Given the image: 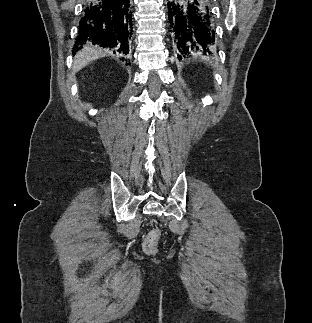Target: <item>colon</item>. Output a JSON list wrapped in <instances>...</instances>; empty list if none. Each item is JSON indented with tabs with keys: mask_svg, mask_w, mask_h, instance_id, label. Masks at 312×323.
<instances>
[{
	"mask_svg": "<svg viewBox=\"0 0 312 323\" xmlns=\"http://www.w3.org/2000/svg\"><path fill=\"white\" fill-rule=\"evenodd\" d=\"M157 235H148L143 241V248L146 252H154L157 250Z\"/></svg>",
	"mask_w": 312,
	"mask_h": 323,
	"instance_id": "5ec220e1",
	"label": "colon"
}]
</instances>
